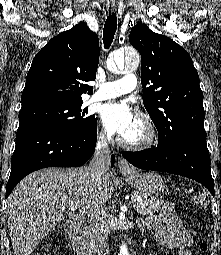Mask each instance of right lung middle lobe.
Returning <instances> with one entry per match:
<instances>
[{
  "mask_svg": "<svg viewBox=\"0 0 221 255\" xmlns=\"http://www.w3.org/2000/svg\"><path fill=\"white\" fill-rule=\"evenodd\" d=\"M83 102L46 103L21 109L20 122H39L71 131L82 132L90 129L96 122L95 116L86 117L87 110L81 109Z\"/></svg>",
  "mask_w": 221,
  "mask_h": 255,
  "instance_id": "right-lung-middle-lobe-1",
  "label": "right lung middle lobe"
}]
</instances>
